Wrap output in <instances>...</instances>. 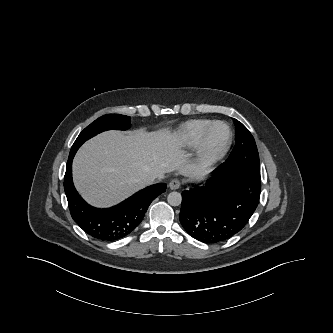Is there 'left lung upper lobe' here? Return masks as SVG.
I'll use <instances>...</instances> for the list:
<instances>
[{
	"label": "left lung upper lobe",
	"mask_w": 333,
	"mask_h": 333,
	"mask_svg": "<svg viewBox=\"0 0 333 333\" xmlns=\"http://www.w3.org/2000/svg\"><path fill=\"white\" fill-rule=\"evenodd\" d=\"M234 122L236 126V145L226 161L243 166L260 177V161L255 140L241 122L236 119H234Z\"/></svg>",
	"instance_id": "left-lung-upper-lobe-1"
}]
</instances>
